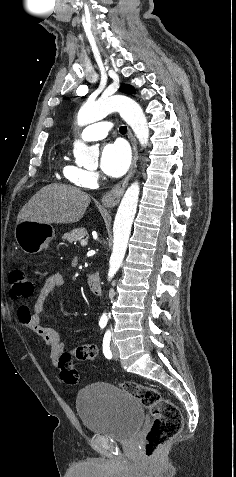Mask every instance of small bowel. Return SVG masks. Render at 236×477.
Wrapping results in <instances>:
<instances>
[{"instance_id": "small-bowel-1", "label": "small bowel", "mask_w": 236, "mask_h": 477, "mask_svg": "<svg viewBox=\"0 0 236 477\" xmlns=\"http://www.w3.org/2000/svg\"><path fill=\"white\" fill-rule=\"evenodd\" d=\"M64 278L60 274L50 276L39 291L32 308L19 310L18 316L23 325L40 336L49 348V359L53 366H59L60 355L65 351L58 333L50 326L41 322L43 310L58 287L63 285ZM93 356H97L98 349L91 345Z\"/></svg>"}]
</instances>
